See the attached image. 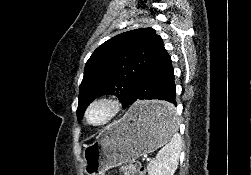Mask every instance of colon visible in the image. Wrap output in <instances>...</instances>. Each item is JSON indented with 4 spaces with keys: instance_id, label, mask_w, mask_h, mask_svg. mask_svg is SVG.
Listing matches in <instances>:
<instances>
[{
    "instance_id": "obj_1",
    "label": "colon",
    "mask_w": 251,
    "mask_h": 175,
    "mask_svg": "<svg viewBox=\"0 0 251 175\" xmlns=\"http://www.w3.org/2000/svg\"><path fill=\"white\" fill-rule=\"evenodd\" d=\"M118 170L121 175H146L144 166L136 160L120 164Z\"/></svg>"
}]
</instances>
